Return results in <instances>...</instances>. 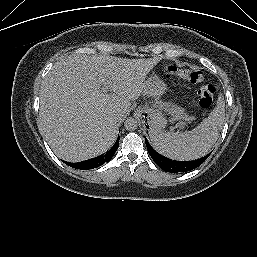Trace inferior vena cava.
Wrapping results in <instances>:
<instances>
[{
	"mask_svg": "<svg viewBox=\"0 0 257 257\" xmlns=\"http://www.w3.org/2000/svg\"><path fill=\"white\" fill-rule=\"evenodd\" d=\"M113 119L115 120V121H119L120 120V116L117 114V115H114L113 116Z\"/></svg>",
	"mask_w": 257,
	"mask_h": 257,
	"instance_id": "obj_1",
	"label": "inferior vena cava"
}]
</instances>
